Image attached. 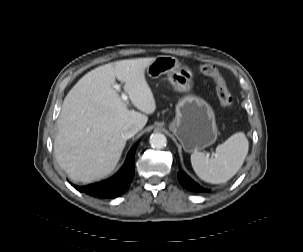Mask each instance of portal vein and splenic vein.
Returning a JSON list of instances; mask_svg holds the SVG:
<instances>
[{
  "instance_id": "obj_1",
  "label": "portal vein and splenic vein",
  "mask_w": 303,
  "mask_h": 252,
  "mask_svg": "<svg viewBox=\"0 0 303 252\" xmlns=\"http://www.w3.org/2000/svg\"><path fill=\"white\" fill-rule=\"evenodd\" d=\"M114 88H116V90L120 91V85H118V84L114 85ZM121 96H122V100L123 101H127L128 100V96H127L126 93H122Z\"/></svg>"
}]
</instances>
